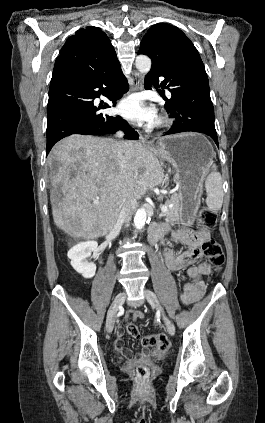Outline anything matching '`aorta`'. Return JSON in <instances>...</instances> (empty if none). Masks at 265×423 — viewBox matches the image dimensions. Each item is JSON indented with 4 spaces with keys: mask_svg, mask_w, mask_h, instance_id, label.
Segmentation results:
<instances>
[{
    "mask_svg": "<svg viewBox=\"0 0 265 423\" xmlns=\"http://www.w3.org/2000/svg\"><path fill=\"white\" fill-rule=\"evenodd\" d=\"M135 65L141 74H147L151 69V59L146 55H138ZM147 220V213L144 207L139 208L134 216V225L136 229H142Z\"/></svg>",
    "mask_w": 265,
    "mask_h": 423,
    "instance_id": "1",
    "label": "aorta"
}]
</instances>
